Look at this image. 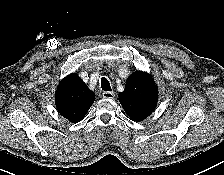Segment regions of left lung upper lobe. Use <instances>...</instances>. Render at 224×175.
Segmentation results:
<instances>
[{
    "label": "left lung upper lobe",
    "mask_w": 224,
    "mask_h": 175,
    "mask_svg": "<svg viewBox=\"0 0 224 175\" xmlns=\"http://www.w3.org/2000/svg\"><path fill=\"white\" fill-rule=\"evenodd\" d=\"M119 102L132 120L140 122L147 118L158 102V91L152 77L144 72L131 74L124 92L119 94Z\"/></svg>",
    "instance_id": "5c2ea615"
}]
</instances>
